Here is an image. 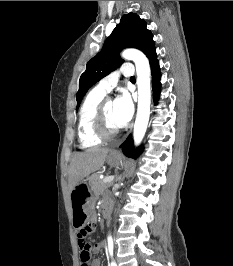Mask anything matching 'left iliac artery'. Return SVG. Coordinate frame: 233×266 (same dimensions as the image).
<instances>
[{
  "mask_svg": "<svg viewBox=\"0 0 233 266\" xmlns=\"http://www.w3.org/2000/svg\"><path fill=\"white\" fill-rule=\"evenodd\" d=\"M108 250H109V254L111 256V263L110 266H117L116 262L113 259V239L112 237L108 238Z\"/></svg>",
  "mask_w": 233,
  "mask_h": 266,
  "instance_id": "1",
  "label": "left iliac artery"
}]
</instances>
